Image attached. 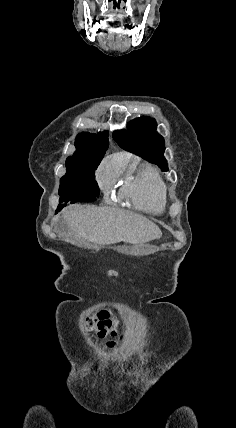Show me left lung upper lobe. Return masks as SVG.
Listing matches in <instances>:
<instances>
[{"mask_svg":"<svg viewBox=\"0 0 236 428\" xmlns=\"http://www.w3.org/2000/svg\"><path fill=\"white\" fill-rule=\"evenodd\" d=\"M156 127L157 123L153 118H137L128 124L127 131H115L113 138L124 150L158 165L162 171H168V164L163 155L164 139L156 132Z\"/></svg>","mask_w":236,"mask_h":428,"instance_id":"1","label":"left lung upper lobe"}]
</instances>
